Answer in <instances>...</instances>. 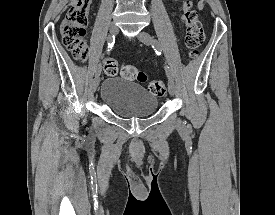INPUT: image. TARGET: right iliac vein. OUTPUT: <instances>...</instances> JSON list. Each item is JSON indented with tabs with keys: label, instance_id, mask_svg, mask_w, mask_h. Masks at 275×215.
Instances as JSON below:
<instances>
[{
	"label": "right iliac vein",
	"instance_id": "63e3f726",
	"mask_svg": "<svg viewBox=\"0 0 275 215\" xmlns=\"http://www.w3.org/2000/svg\"><path fill=\"white\" fill-rule=\"evenodd\" d=\"M110 33L111 34H117L118 33V27L115 23H112L110 25ZM99 83H100V72H97L95 77L93 78V81H92V90L94 92L97 90Z\"/></svg>",
	"mask_w": 275,
	"mask_h": 215
}]
</instances>
